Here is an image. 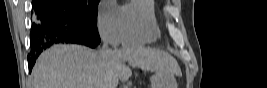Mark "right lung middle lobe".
<instances>
[{
	"label": "right lung middle lobe",
	"instance_id": "right-lung-middle-lobe-1",
	"mask_svg": "<svg viewBox=\"0 0 267 88\" xmlns=\"http://www.w3.org/2000/svg\"><path fill=\"white\" fill-rule=\"evenodd\" d=\"M64 7L76 17L90 24H97V8L100 0H50Z\"/></svg>",
	"mask_w": 267,
	"mask_h": 88
}]
</instances>
